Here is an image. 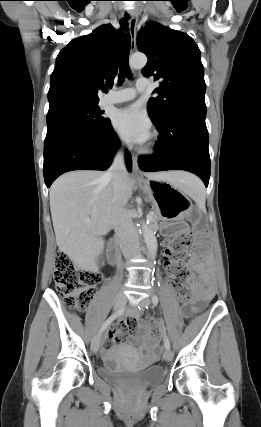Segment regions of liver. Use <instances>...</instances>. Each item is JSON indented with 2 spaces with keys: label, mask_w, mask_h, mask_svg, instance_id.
<instances>
[{
  "label": "liver",
  "mask_w": 261,
  "mask_h": 427,
  "mask_svg": "<svg viewBox=\"0 0 261 427\" xmlns=\"http://www.w3.org/2000/svg\"><path fill=\"white\" fill-rule=\"evenodd\" d=\"M105 172L78 170L59 177L51 186L50 210L60 251L74 255L82 267L90 268L99 255L112 226L114 190ZM149 180L172 183L185 189L188 174L178 171L145 173ZM135 181L127 176L126 193L132 196Z\"/></svg>",
  "instance_id": "liver-1"
}]
</instances>
